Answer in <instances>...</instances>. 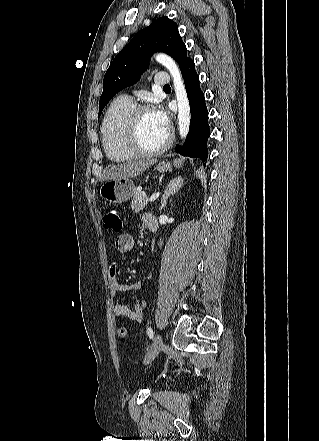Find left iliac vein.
Listing matches in <instances>:
<instances>
[{"label":"left iliac vein","instance_id":"left-iliac-vein-1","mask_svg":"<svg viewBox=\"0 0 319 441\" xmlns=\"http://www.w3.org/2000/svg\"><path fill=\"white\" fill-rule=\"evenodd\" d=\"M162 346H163L162 337L159 334H156L153 339L152 345L144 358V363L148 364L153 359H155Z\"/></svg>","mask_w":319,"mask_h":441}]
</instances>
